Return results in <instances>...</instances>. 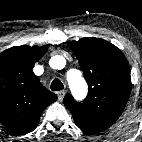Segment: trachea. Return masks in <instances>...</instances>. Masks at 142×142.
Returning a JSON list of instances; mask_svg holds the SVG:
<instances>
[{
	"label": "trachea",
	"instance_id": "1",
	"mask_svg": "<svg viewBox=\"0 0 142 142\" xmlns=\"http://www.w3.org/2000/svg\"><path fill=\"white\" fill-rule=\"evenodd\" d=\"M64 89L63 83L59 79H54L51 83V90L60 91Z\"/></svg>",
	"mask_w": 142,
	"mask_h": 142
}]
</instances>
